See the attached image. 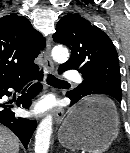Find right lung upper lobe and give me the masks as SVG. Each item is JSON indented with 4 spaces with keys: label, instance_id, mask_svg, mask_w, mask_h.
<instances>
[{
    "label": "right lung upper lobe",
    "instance_id": "right-lung-upper-lobe-1",
    "mask_svg": "<svg viewBox=\"0 0 130 153\" xmlns=\"http://www.w3.org/2000/svg\"><path fill=\"white\" fill-rule=\"evenodd\" d=\"M44 47V38L26 17L10 14L0 18V82L37 72L34 59Z\"/></svg>",
    "mask_w": 130,
    "mask_h": 153
}]
</instances>
